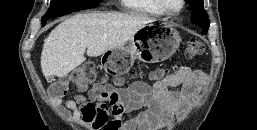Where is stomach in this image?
Listing matches in <instances>:
<instances>
[{
    "label": "stomach",
    "mask_w": 257,
    "mask_h": 130,
    "mask_svg": "<svg viewBox=\"0 0 257 130\" xmlns=\"http://www.w3.org/2000/svg\"><path fill=\"white\" fill-rule=\"evenodd\" d=\"M179 32L169 23H150L129 40L126 47L108 50L101 57L106 72L126 73L137 58L145 63H157L170 58L180 45Z\"/></svg>",
    "instance_id": "1"
}]
</instances>
